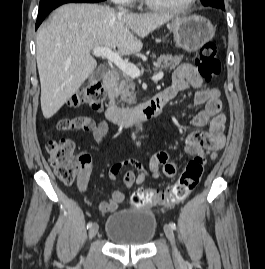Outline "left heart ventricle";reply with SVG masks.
Masks as SVG:
<instances>
[{
	"label": "left heart ventricle",
	"mask_w": 265,
	"mask_h": 269,
	"mask_svg": "<svg viewBox=\"0 0 265 269\" xmlns=\"http://www.w3.org/2000/svg\"><path fill=\"white\" fill-rule=\"evenodd\" d=\"M155 1L162 4L179 5L185 3L188 0H155Z\"/></svg>",
	"instance_id": "1"
}]
</instances>
